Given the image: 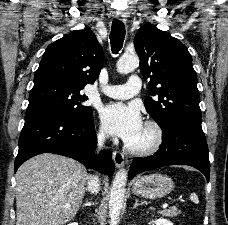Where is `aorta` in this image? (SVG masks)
<instances>
[{
    "label": "aorta",
    "instance_id": "1",
    "mask_svg": "<svg viewBox=\"0 0 228 225\" xmlns=\"http://www.w3.org/2000/svg\"><path fill=\"white\" fill-rule=\"evenodd\" d=\"M139 66V56L137 54H122L119 60H117L116 68L121 74H127L132 72L134 68ZM127 183V171L120 169L114 177L112 183L110 195H109V217L110 225H117V221L120 217L121 209L123 207V201L125 197Z\"/></svg>",
    "mask_w": 228,
    "mask_h": 225
}]
</instances>
